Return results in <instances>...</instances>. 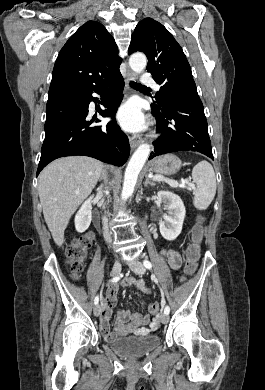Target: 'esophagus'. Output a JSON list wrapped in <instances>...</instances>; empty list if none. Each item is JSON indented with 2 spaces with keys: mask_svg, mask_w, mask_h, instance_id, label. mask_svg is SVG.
Here are the masks:
<instances>
[{
  "mask_svg": "<svg viewBox=\"0 0 265 390\" xmlns=\"http://www.w3.org/2000/svg\"><path fill=\"white\" fill-rule=\"evenodd\" d=\"M127 82L135 80V75L132 71H127ZM140 144L139 140H136L134 138H130V147L132 150H134L138 145Z\"/></svg>",
  "mask_w": 265,
  "mask_h": 390,
  "instance_id": "1",
  "label": "esophagus"
}]
</instances>
